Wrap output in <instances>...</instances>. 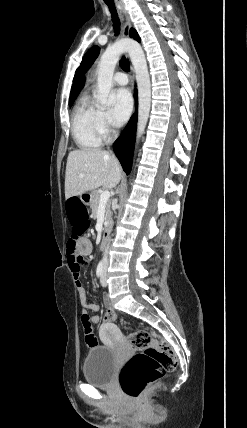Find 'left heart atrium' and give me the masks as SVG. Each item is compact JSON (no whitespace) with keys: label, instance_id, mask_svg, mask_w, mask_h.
Returning a JSON list of instances; mask_svg holds the SVG:
<instances>
[{"label":"left heart atrium","instance_id":"obj_1","mask_svg":"<svg viewBox=\"0 0 247 428\" xmlns=\"http://www.w3.org/2000/svg\"><path fill=\"white\" fill-rule=\"evenodd\" d=\"M133 101L127 89H117L113 93L112 116L118 123L125 122L131 114Z\"/></svg>","mask_w":247,"mask_h":428}]
</instances>
